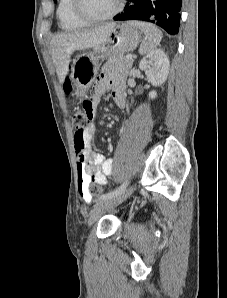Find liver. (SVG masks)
<instances>
[{
	"mask_svg": "<svg viewBox=\"0 0 227 298\" xmlns=\"http://www.w3.org/2000/svg\"><path fill=\"white\" fill-rule=\"evenodd\" d=\"M114 27L115 23H108L90 30L61 33L52 38L51 54L61 84L68 73L72 53L100 45L109 37Z\"/></svg>",
	"mask_w": 227,
	"mask_h": 298,
	"instance_id": "6515ba94",
	"label": "liver"
}]
</instances>
